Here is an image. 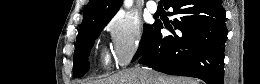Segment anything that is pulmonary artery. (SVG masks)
Listing matches in <instances>:
<instances>
[{
    "label": "pulmonary artery",
    "instance_id": "e3ab8cb5",
    "mask_svg": "<svg viewBox=\"0 0 260 84\" xmlns=\"http://www.w3.org/2000/svg\"><path fill=\"white\" fill-rule=\"evenodd\" d=\"M147 9L148 11H150L151 13H155L158 9V5L155 1H148L147 2Z\"/></svg>",
    "mask_w": 260,
    "mask_h": 84
}]
</instances>
